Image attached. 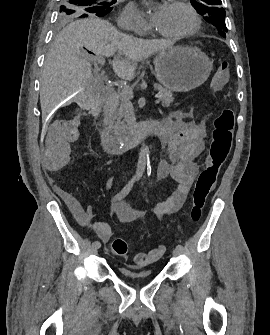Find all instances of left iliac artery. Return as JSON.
<instances>
[{"label":"left iliac artery","instance_id":"1","mask_svg":"<svg viewBox=\"0 0 270 335\" xmlns=\"http://www.w3.org/2000/svg\"><path fill=\"white\" fill-rule=\"evenodd\" d=\"M176 249H178V250H180V251H183V250H184V247H183L182 245L178 244V245L176 246Z\"/></svg>","mask_w":270,"mask_h":335}]
</instances>
